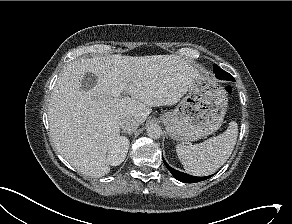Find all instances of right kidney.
Returning <instances> with one entry per match:
<instances>
[{"label": "right kidney", "mask_w": 292, "mask_h": 224, "mask_svg": "<svg viewBox=\"0 0 292 224\" xmlns=\"http://www.w3.org/2000/svg\"><path fill=\"white\" fill-rule=\"evenodd\" d=\"M129 149V140L126 137H119L112 144L107 154V162L111 166L120 165L126 158Z\"/></svg>", "instance_id": "1"}]
</instances>
